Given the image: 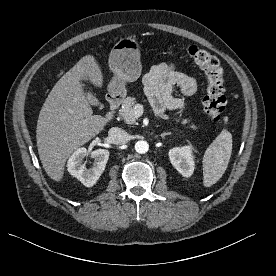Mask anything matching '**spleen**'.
Listing matches in <instances>:
<instances>
[{
	"instance_id": "obj_1",
	"label": "spleen",
	"mask_w": 276,
	"mask_h": 276,
	"mask_svg": "<svg viewBox=\"0 0 276 276\" xmlns=\"http://www.w3.org/2000/svg\"><path fill=\"white\" fill-rule=\"evenodd\" d=\"M228 121L227 118L224 119ZM232 153V135L223 129L203 156V185L210 187L225 173Z\"/></svg>"
}]
</instances>
